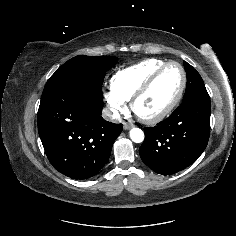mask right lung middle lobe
I'll return each instance as SVG.
<instances>
[{"label": "right lung middle lobe", "instance_id": "dd1d6c3e", "mask_svg": "<svg viewBox=\"0 0 236 236\" xmlns=\"http://www.w3.org/2000/svg\"><path fill=\"white\" fill-rule=\"evenodd\" d=\"M118 58L113 56L78 55L62 65L47 81L42 95L56 89L77 85L103 100L102 83L106 72Z\"/></svg>", "mask_w": 236, "mask_h": 236}]
</instances>
